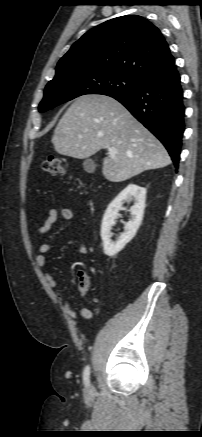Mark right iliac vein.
Returning <instances> with one entry per match:
<instances>
[{
  "label": "right iliac vein",
  "mask_w": 202,
  "mask_h": 437,
  "mask_svg": "<svg viewBox=\"0 0 202 437\" xmlns=\"http://www.w3.org/2000/svg\"><path fill=\"white\" fill-rule=\"evenodd\" d=\"M91 391H92V389H91V388H89V389H88V392H91Z\"/></svg>",
  "instance_id": "1"
}]
</instances>
